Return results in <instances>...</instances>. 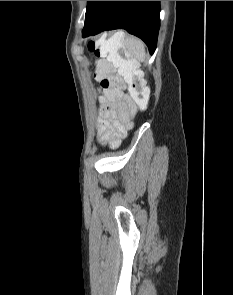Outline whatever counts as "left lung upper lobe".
I'll use <instances>...</instances> for the list:
<instances>
[{"label": "left lung upper lobe", "mask_w": 233, "mask_h": 295, "mask_svg": "<svg viewBox=\"0 0 233 295\" xmlns=\"http://www.w3.org/2000/svg\"><path fill=\"white\" fill-rule=\"evenodd\" d=\"M94 3H95V1H87V9H86L85 19L89 15V13L91 11V8H92Z\"/></svg>", "instance_id": "1"}]
</instances>
